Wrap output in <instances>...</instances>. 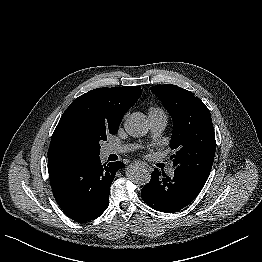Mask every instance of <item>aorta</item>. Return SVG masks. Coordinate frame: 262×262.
I'll return each instance as SVG.
<instances>
[{
    "label": "aorta",
    "instance_id": "aorta-1",
    "mask_svg": "<svg viewBox=\"0 0 262 262\" xmlns=\"http://www.w3.org/2000/svg\"><path fill=\"white\" fill-rule=\"evenodd\" d=\"M126 132L132 137H142L149 130L147 117L140 112L132 113L124 123ZM126 176L138 185H145L151 180V173L140 164H131L126 169Z\"/></svg>",
    "mask_w": 262,
    "mask_h": 262
}]
</instances>
